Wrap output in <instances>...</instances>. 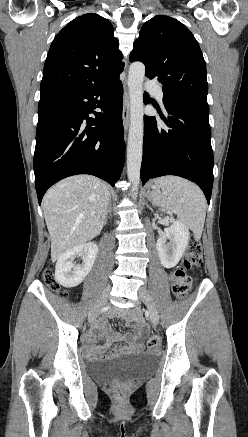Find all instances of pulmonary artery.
Instances as JSON below:
<instances>
[{"label":"pulmonary artery","mask_w":248,"mask_h":437,"mask_svg":"<svg viewBox=\"0 0 248 437\" xmlns=\"http://www.w3.org/2000/svg\"><path fill=\"white\" fill-rule=\"evenodd\" d=\"M146 88L153 93L161 103H163L164 94L160 87L149 82L147 83Z\"/></svg>","instance_id":"obj_1"}]
</instances>
